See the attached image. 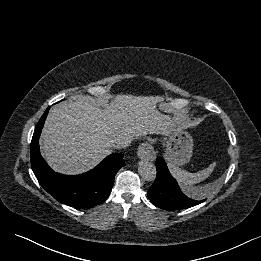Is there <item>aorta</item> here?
Listing matches in <instances>:
<instances>
[{
	"label": "aorta",
	"mask_w": 261,
	"mask_h": 261,
	"mask_svg": "<svg viewBox=\"0 0 261 261\" xmlns=\"http://www.w3.org/2000/svg\"><path fill=\"white\" fill-rule=\"evenodd\" d=\"M138 172L140 176L148 182L154 181L157 173L155 165L148 160H142L139 162Z\"/></svg>",
	"instance_id": "obj_1"
}]
</instances>
